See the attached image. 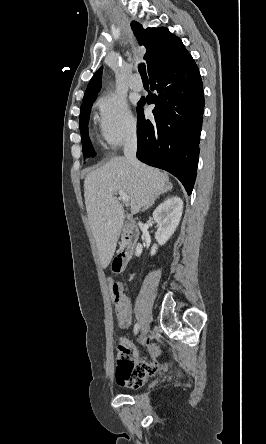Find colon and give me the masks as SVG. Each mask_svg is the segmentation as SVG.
<instances>
[{"label":"colon","mask_w":266,"mask_h":444,"mask_svg":"<svg viewBox=\"0 0 266 444\" xmlns=\"http://www.w3.org/2000/svg\"><path fill=\"white\" fill-rule=\"evenodd\" d=\"M123 297L124 290L122 284L119 282L113 283L111 287V299L114 308L118 307L122 303Z\"/></svg>","instance_id":"1"}]
</instances>
